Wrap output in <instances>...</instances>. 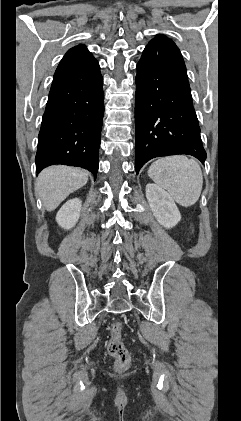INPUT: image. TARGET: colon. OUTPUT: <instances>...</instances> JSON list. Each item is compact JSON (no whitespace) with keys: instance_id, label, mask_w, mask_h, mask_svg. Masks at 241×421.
Returning a JSON list of instances; mask_svg holds the SVG:
<instances>
[{"instance_id":"colon-1","label":"colon","mask_w":241,"mask_h":421,"mask_svg":"<svg viewBox=\"0 0 241 421\" xmlns=\"http://www.w3.org/2000/svg\"><path fill=\"white\" fill-rule=\"evenodd\" d=\"M123 324L120 320H115L110 326V339L107 351L115 359L117 369H125L130 362V355L122 341Z\"/></svg>"}]
</instances>
